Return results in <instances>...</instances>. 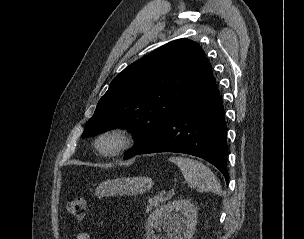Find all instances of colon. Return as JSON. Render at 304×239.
Instances as JSON below:
<instances>
[{"mask_svg":"<svg viewBox=\"0 0 304 239\" xmlns=\"http://www.w3.org/2000/svg\"><path fill=\"white\" fill-rule=\"evenodd\" d=\"M67 212L77 220L84 219L86 215V199L83 196H78L67 202Z\"/></svg>","mask_w":304,"mask_h":239,"instance_id":"obj_1","label":"colon"}]
</instances>
